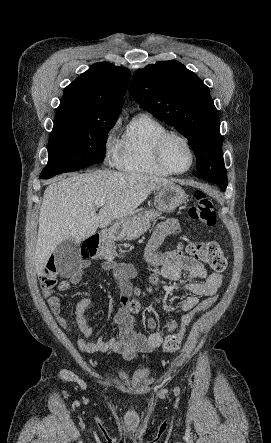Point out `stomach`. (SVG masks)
Masks as SVG:
<instances>
[{
  "mask_svg": "<svg viewBox=\"0 0 271 443\" xmlns=\"http://www.w3.org/2000/svg\"><path fill=\"white\" fill-rule=\"evenodd\" d=\"M186 200L187 194H185L180 186H176V184H167V186H161V188H159L156 204L158 210H162V212H174L178 206L185 204ZM123 223L124 222L117 223L112 233H110L114 241L125 239L126 231Z\"/></svg>",
  "mask_w": 271,
  "mask_h": 443,
  "instance_id": "0dacf381",
  "label": "stomach"
}]
</instances>
